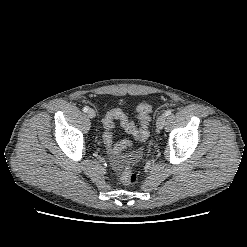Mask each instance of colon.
Instances as JSON below:
<instances>
[{"label":"colon","instance_id":"1","mask_svg":"<svg viewBox=\"0 0 247 247\" xmlns=\"http://www.w3.org/2000/svg\"><path fill=\"white\" fill-rule=\"evenodd\" d=\"M138 120L140 127L136 128L134 123L128 119L126 114L121 109H113L109 111L103 119V138L106 146L112 153V155H119L120 151L130 146V141L124 139L119 144H113L112 141V129L114 127V121L118 120L125 131L134 136L140 141H145L149 135V122L151 106L147 102H141L136 107ZM135 161V155L130 154L126 159V164L121 171L120 180L125 186H134L138 182V174L132 168V164Z\"/></svg>","mask_w":247,"mask_h":247}]
</instances>
